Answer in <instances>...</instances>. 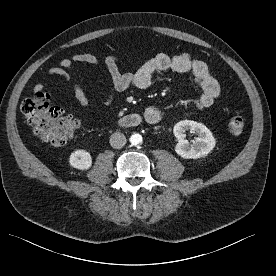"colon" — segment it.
<instances>
[{"mask_svg": "<svg viewBox=\"0 0 276 276\" xmlns=\"http://www.w3.org/2000/svg\"><path fill=\"white\" fill-rule=\"evenodd\" d=\"M20 110L35 135L53 145H63L73 138L79 122L73 117H64L60 108L50 103L45 91H38L21 102ZM245 128V119L234 115L228 122V131L240 135Z\"/></svg>", "mask_w": 276, "mask_h": 276, "instance_id": "colon-1", "label": "colon"}]
</instances>
